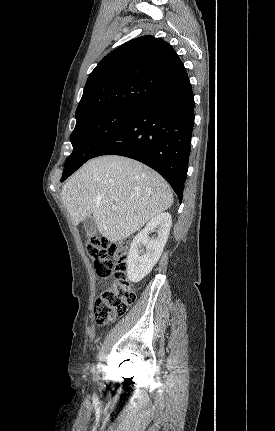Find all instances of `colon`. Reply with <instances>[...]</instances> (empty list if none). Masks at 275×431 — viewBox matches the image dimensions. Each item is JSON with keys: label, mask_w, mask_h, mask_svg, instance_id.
I'll list each match as a JSON object with an SVG mask.
<instances>
[{"label": "colon", "mask_w": 275, "mask_h": 431, "mask_svg": "<svg viewBox=\"0 0 275 431\" xmlns=\"http://www.w3.org/2000/svg\"><path fill=\"white\" fill-rule=\"evenodd\" d=\"M86 250L100 277L114 276L113 283L103 290L94 305V322L102 325L123 316L136 301V291L127 277L128 245L92 235Z\"/></svg>", "instance_id": "1"}]
</instances>
